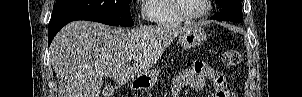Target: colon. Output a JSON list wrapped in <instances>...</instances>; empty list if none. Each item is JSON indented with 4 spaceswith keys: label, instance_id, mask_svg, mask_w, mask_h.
Here are the masks:
<instances>
[{
    "label": "colon",
    "instance_id": "1",
    "mask_svg": "<svg viewBox=\"0 0 302 97\" xmlns=\"http://www.w3.org/2000/svg\"><path fill=\"white\" fill-rule=\"evenodd\" d=\"M222 61L226 66H236L241 63L242 55L237 50H229L223 54Z\"/></svg>",
    "mask_w": 302,
    "mask_h": 97
}]
</instances>
